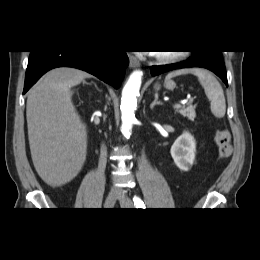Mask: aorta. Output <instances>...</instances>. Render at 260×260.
Here are the masks:
<instances>
[{
	"mask_svg": "<svg viewBox=\"0 0 260 260\" xmlns=\"http://www.w3.org/2000/svg\"><path fill=\"white\" fill-rule=\"evenodd\" d=\"M143 73L142 71H134L126 82L121 97V120L122 134L129 138L132 131V126L135 121V110L137 107V96L141 87Z\"/></svg>",
	"mask_w": 260,
	"mask_h": 260,
	"instance_id": "obj_1",
	"label": "aorta"
}]
</instances>
